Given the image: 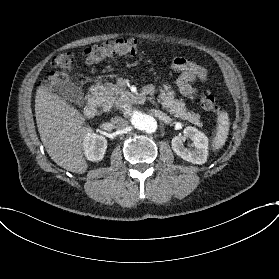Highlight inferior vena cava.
I'll return each mask as SVG.
<instances>
[{
  "label": "inferior vena cava",
  "mask_w": 279,
  "mask_h": 279,
  "mask_svg": "<svg viewBox=\"0 0 279 279\" xmlns=\"http://www.w3.org/2000/svg\"><path fill=\"white\" fill-rule=\"evenodd\" d=\"M128 120L121 116H114L111 118L109 125L112 129L121 130L128 126Z\"/></svg>",
  "instance_id": "obj_1"
}]
</instances>
